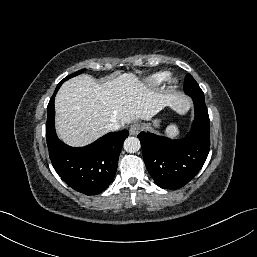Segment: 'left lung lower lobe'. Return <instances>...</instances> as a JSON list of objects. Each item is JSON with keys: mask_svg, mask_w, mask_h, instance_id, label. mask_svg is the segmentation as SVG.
<instances>
[{"mask_svg": "<svg viewBox=\"0 0 257 257\" xmlns=\"http://www.w3.org/2000/svg\"><path fill=\"white\" fill-rule=\"evenodd\" d=\"M195 119L188 135L172 140L141 132L144 162L155 183L163 189H179L202 168L210 149L209 115L204 97H192Z\"/></svg>", "mask_w": 257, "mask_h": 257, "instance_id": "0a47b994", "label": "left lung lower lobe"}]
</instances>
